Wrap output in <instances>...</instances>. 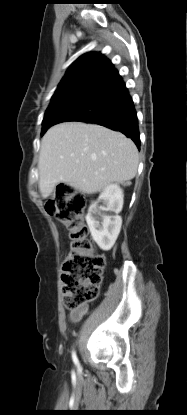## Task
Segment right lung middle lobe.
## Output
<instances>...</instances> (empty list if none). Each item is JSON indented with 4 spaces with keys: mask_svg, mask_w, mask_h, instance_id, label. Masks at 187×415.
<instances>
[{
    "mask_svg": "<svg viewBox=\"0 0 187 415\" xmlns=\"http://www.w3.org/2000/svg\"><path fill=\"white\" fill-rule=\"evenodd\" d=\"M63 100H61L59 102H56L55 104L50 105L49 108L46 110V113H45V116H44V119H43V123H42L41 135H43L47 131V129L49 128L50 116L57 109L59 104H62Z\"/></svg>",
    "mask_w": 187,
    "mask_h": 415,
    "instance_id": "right-lung-middle-lobe-1",
    "label": "right lung middle lobe"
}]
</instances>
